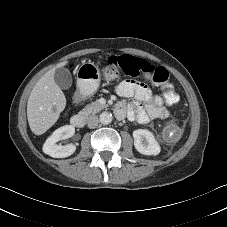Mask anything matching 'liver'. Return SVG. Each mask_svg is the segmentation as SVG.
Masks as SVG:
<instances>
[{
  "label": "liver",
  "instance_id": "obj_1",
  "mask_svg": "<svg viewBox=\"0 0 227 227\" xmlns=\"http://www.w3.org/2000/svg\"><path fill=\"white\" fill-rule=\"evenodd\" d=\"M68 61L59 63L46 72L35 84L27 102V119L35 135L44 134L60 117L66 106V97L54 80L56 68L65 66Z\"/></svg>",
  "mask_w": 227,
  "mask_h": 227
}]
</instances>
